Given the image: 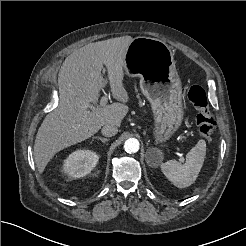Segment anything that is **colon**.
Wrapping results in <instances>:
<instances>
[{
    "instance_id": "obj_1",
    "label": "colon",
    "mask_w": 246,
    "mask_h": 246,
    "mask_svg": "<svg viewBox=\"0 0 246 246\" xmlns=\"http://www.w3.org/2000/svg\"><path fill=\"white\" fill-rule=\"evenodd\" d=\"M187 97L198 111L196 124L200 135L211 139L215 132V120L209 110L206 91L202 86L193 84L188 87Z\"/></svg>"
}]
</instances>
